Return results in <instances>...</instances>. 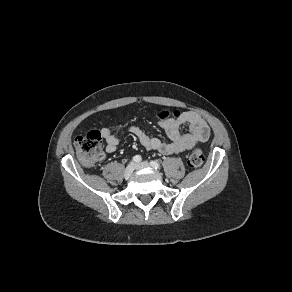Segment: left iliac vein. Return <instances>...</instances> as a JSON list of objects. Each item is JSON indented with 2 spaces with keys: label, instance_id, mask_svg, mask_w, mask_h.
<instances>
[{
  "label": "left iliac vein",
  "instance_id": "obj_1",
  "mask_svg": "<svg viewBox=\"0 0 292 292\" xmlns=\"http://www.w3.org/2000/svg\"><path fill=\"white\" fill-rule=\"evenodd\" d=\"M150 164L148 162H141L135 165L136 169L148 168Z\"/></svg>",
  "mask_w": 292,
  "mask_h": 292
}]
</instances>
